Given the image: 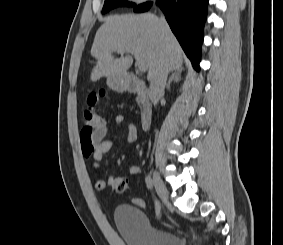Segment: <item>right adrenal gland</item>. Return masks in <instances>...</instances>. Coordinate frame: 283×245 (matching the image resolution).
Returning a JSON list of instances; mask_svg holds the SVG:
<instances>
[{"mask_svg":"<svg viewBox=\"0 0 283 245\" xmlns=\"http://www.w3.org/2000/svg\"><path fill=\"white\" fill-rule=\"evenodd\" d=\"M182 71H183V69L180 68V69H176V70L172 73V75H171L169 81H168L167 84H166V89H169V88H170V84H171L172 81H175V82L181 81V74H182Z\"/></svg>","mask_w":283,"mask_h":245,"instance_id":"2a0ac1e0","label":"right adrenal gland"}]
</instances>
